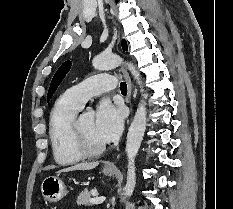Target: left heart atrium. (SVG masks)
Masks as SVG:
<instances>
[{"label": "left heart atrium", "mask_w": 233, "mask_h": 209, "mask_svg": "<svg viewBox=\"0 0 233 209\" xmlns=\"http://www.w3.org/2000/svg\"><path fill=\"white\" fill-rule=\"evenodd\" d=\"M123 126L122 110L111 103L101 102L94 120V135L102 143L118 138Z\"/></svg>", "instance_id": "1"}]
</instances>
